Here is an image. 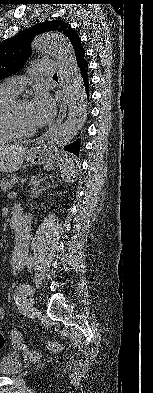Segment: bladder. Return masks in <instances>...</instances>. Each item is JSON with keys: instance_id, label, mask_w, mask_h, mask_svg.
I'll list each match as a JSON object with an SVG mask.
<instances>
[{"instance_id": "bladder-1", "label": "bladder", "mask_w": 153, "mask_h": 393, "mask_svg": "<svg viewBox=\"0 0 153 393\" xmlns=\"http://www.w3.org/2000/svg\"><path fill=\"white\" fill-rule=\"evenodd\" d=\"M22 372V365L18 357L14 353L3 356L0 360V374L7 377H14L20 375Z\"/></svg>"}]
</instances>
